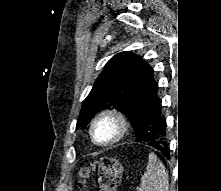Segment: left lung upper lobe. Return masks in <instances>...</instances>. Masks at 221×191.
Wrapping results in <instances>:
<instances>
[{
    "instance_id": "1",
    "label": "left lung upper lobe",
    "mask_w": 221,
    "mask_h": 191,
    "mask_svg": "<svg viewBox=\"0 0 221 191\" xmlns=\"http://www.w3.org/2000/svg\"><path fill=\"white\" fill-rule=\"evenodd\" d=\"M141 58L129 51L113 56L98 76L87 98L84 100L76 128L85 127L100 110L116 108L124 113L132 123V87ZM136 135V134H135ZM136 142H143L138 139Z\"/></svg>"
}]
</instances>
